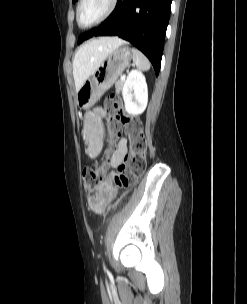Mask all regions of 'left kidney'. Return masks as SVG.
<instances>
[{
  "label": "left kidney",
  "mask_w": 247,
  "mask_h": 304,
  "mask_svg": "<svg viewBox=\"0 0 247 304\" xmlns=\"http://www.w3.org/2000/svg\"><path fill=\"white\" fill-rule=\"evenodd\" d=\"M132 91L134 92L132 93ZM122 96L127 113L139 115L145 111L148 102V89L143 73L132 70L128 74L123 86Z\"/></svg>",
  "instance_id": "5707ae66"
}]
</instances>
